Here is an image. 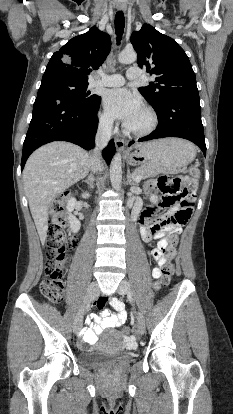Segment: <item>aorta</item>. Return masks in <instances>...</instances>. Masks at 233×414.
<instances>
[{
    "mask_svg": "<svg viewBox=\"0 0 233 414\" xmlns=\"http://www.w3.org/2000/svg\"><path fill=\"white\" fill-rule=\"evenodd\" d=\"M136 60L137 54L134 50H124L118 56V61L122 64H131ZM110 180L113 188L119 191L122 185V160L120 153H116L111 161Z\"/></svg>",
    "mask_w": 233,
    "mask_h": 414,
    "instance_id": "aorta-1",
    "label": "aorta"
}]
</instances>
